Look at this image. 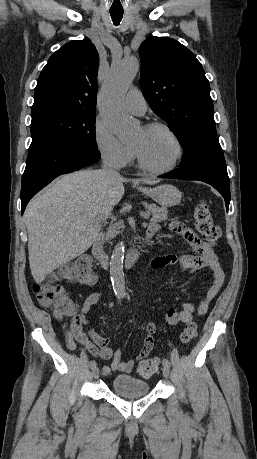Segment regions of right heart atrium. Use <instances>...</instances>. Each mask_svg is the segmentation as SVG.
<instances>
[{"mask_svg":"<svg viewBox=\"0 0 257 459\" xmlns=\"http://www.w3.org/2000/svg\"><path fill=\"white\" fill-rule=\"evenodd\" d=\"M94 141L101 158L114 168L128 165L134 156L132 146L123 143L101 120L94 126Z\"/></svg>","mask_w":257,"mask_h":459,"instance_id":"obj_1","label":"right heart atrium"}]
</instances>
